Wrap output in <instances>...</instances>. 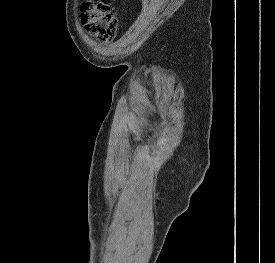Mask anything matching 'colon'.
Returning <instances> with one entry per match:
<instances>
[{
    "instance_id": "5ec220e1",
    "label": "colon",
    "mask_w": 275,
    "mask_h": 263,
    "mask_svg": "<svg viewBox=\"0 0 275 263\" xmlns=\"http://www.w3.org/2000/svg\"><path fill=\"white\" fill-rule=\"evenodd\" d=\"M81 19L86 33L96 41L106 42L115 36L117 18L112 0H87L81 6Z\"/></svg>"
}]
</instances>
